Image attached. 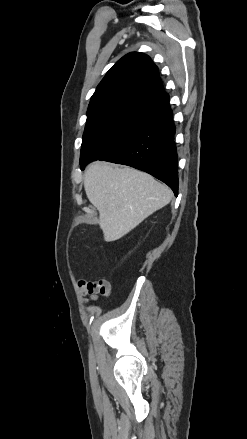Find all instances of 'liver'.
Instances as JSON below:
<instances>
[{
  "label": "liver",
  "mask_w": 247,
  "mask_h": 439,
  "mask_svg": "<svg viewBox=\"0 0 247 439\" xmlns=\"http://www.w3.org/2000/svg\"><path fill=\"white\" fill-rule=\"evenodd\" d=\"M84 188L109 242L128 234L172 199V191L151 175L98 161L87 167Z\"/></svg>",
  "instance_id": "obj_1"
}]
</instances>
